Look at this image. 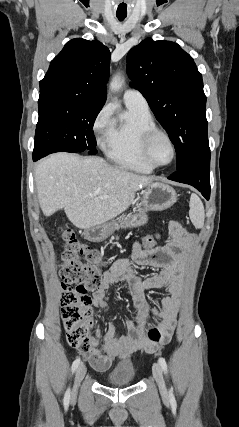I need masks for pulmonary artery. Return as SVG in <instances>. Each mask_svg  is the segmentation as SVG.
<instances>
[{
	"mask_svg": "<svg viewBox=\"0 0 239 427\" xmlns=\"http://www.w3.org/2000/svg\"><path fill=\"white\" fill-rule=\"evenodd\" d=\"M123 100L128 106H135L140 109L149 110V105L145 97L135 89H128L124 92Z\"/></svg>",
	"mask_w": 239,
	"mask_h": 427,
	"instance_id": "obj_1",
	"label": "pulmonary artery"
}]
</instances>
